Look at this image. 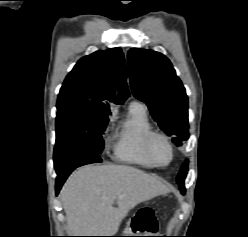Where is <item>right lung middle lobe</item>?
Wrapping results in <instances>:
<instances>
[{
    "instance_id": "dd1d6c3e",
    "label": "right lung middle lobe",
    "mask_w": 248,
    "mask_h": 237,
    "mask_svg": "<svg viewBox=\"0 0 248 237\" xmlns=\"http://www.w3.org/2000/svg\"><path fill=\"white\" fill-rule=\"evenodd\" d=\"M107 123L106 114H97L75 104H57L55 151L86 150L100 154Z\"/></svg>"
}]
</instances>
